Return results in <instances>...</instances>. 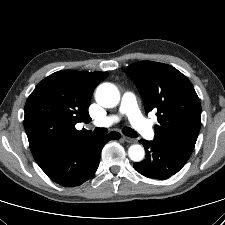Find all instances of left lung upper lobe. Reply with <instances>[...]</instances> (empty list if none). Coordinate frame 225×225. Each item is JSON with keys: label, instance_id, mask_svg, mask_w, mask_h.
Here are the masks:
<instances>
[{"label": "left lung upper lobe", "instance_id": "5c2ea615", "mask_svg": "<svg viewBox=\"0 0 225 225\" xmlns=\"http://www.w3.org/2000/svg\"><path fill=\"white\" fill-rule=\"evenodd\" d=\"M125 73L135 82L145 111H157L154 141L191 155L201 125V104L188 78L162 63L140 61Z\"/></svg>", "mask_w": 225, "mask_h": 225}]
</instances>
